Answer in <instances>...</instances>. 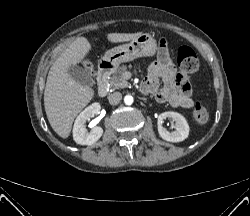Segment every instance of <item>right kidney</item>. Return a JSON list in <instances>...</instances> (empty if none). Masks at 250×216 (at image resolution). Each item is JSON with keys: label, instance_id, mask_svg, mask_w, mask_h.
<instances>
[{"label": "right kidney", "instance_id": "obj_1", "mask_svg": "<svg viewBox=\"0 0 250 216\" xmlns=\"http://www.w3.org/2000/svg\"><path fill=\"white\" fill-rule=\"evenodd\" d=\"M100 109L99 103H93L85 108L76 118L73 127V139L77 144L91 145L102 136L103 129L101 127L95 126L90 132L85 129V123L94 117L95 114H98Z\"/></svg>", "mask_w": 250, "mask_h": 216}]
</instances>
